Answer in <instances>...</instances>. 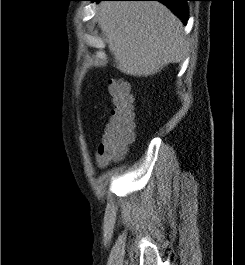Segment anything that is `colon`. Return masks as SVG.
I'll list each match as a JSON object with an SVG mask.
<instances>
[{"label":"colon","instance_id":"5ec220e1","mask_svg":"<svg viewBox=\"0 0 245 265\" xmlns=\"http://www.w3.org/2000/svg\"><path fill=\"white\" fill-rule=\"evenodd\" d=\"M108 91L113 108L103 140L97 149V158L104 163L121 159L134 140L133 97L128 84L121 79L112 78Z\"/></svg>","mask_w":245,"mask_h":265}]
</instances>
